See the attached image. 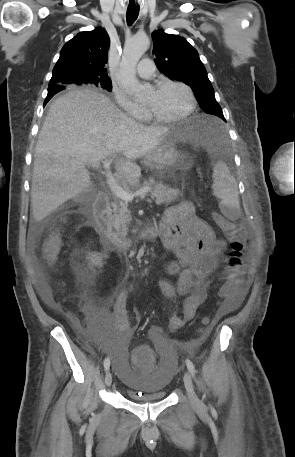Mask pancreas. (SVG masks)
I'll return each mask as SVG.
<instances>
[{
	"label": "pancreas",
	"mask_w": 295,
	"mask_h": 457,
	"mask_svg": "<svg viewBox=\"0 0 295 457\" xmlns=\"http://www.w3.org/2000/svg\"><path fill=\"white\" fill-rule=\"evenodd\" d=\"M146 186L151 188V198L155 199L157 204H169L180 194L178 189L170 188L163 183H155L154 181L144 182L143 187ZM112 207L113 215L111 216V222L115 230L119 233L126 234L128 232V224L130 222L128 203L123 200H116L112 203Z\"/></svg>",
	"instance_id": "cf45deb5"
}]
</instances>
